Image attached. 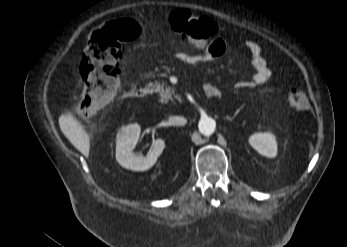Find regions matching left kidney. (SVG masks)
I'll return each instance as SVG.
<instances>
[{"instance_id":"1","label":"left kidney","mask_w":347,"mask_h":247,"mask_svg":"<svg viewBox=\"0 0 347 247\" xmlns=\"http://www.w3.org/2000/svg\"><path fill=\"white\" fill-rule=\"evenodd\" d=\"M250 145L261 155L274 158L277 155V142L271 133H255L249 138Z\"/></svg>"}]
</instances>
